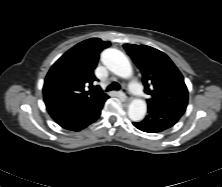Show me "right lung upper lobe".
<instances>
[{"mask_svg":"<svg viewBox=\"0 0 222 187\" xmlns=\"http://www.w3.org/2000/svg\"><path fill=\"white\" fill-rule=\"evenodd\" d=\"M109 46V41L91 38L68 50L54 63L45 78L44 100L55 99L76 106H88L108 99L109 96L92 83L96 80L94 69L99 54ZM85 86L90 89L86 91Z\"/></svg>","mask_w":222,"mask_h":187,"instance_id":"right-lung-upper-lobe-1","label":"right lung upper lobe"}]
</instances>
